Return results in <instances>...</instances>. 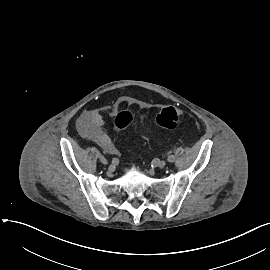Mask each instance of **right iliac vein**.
Returning <instances> with one entry per match:
<instances>
[{
	"label": "right iliac vein",
	"instance_id": "obj_1",
	"mask_svg": "<svg viewBox=\"0 0 270 270\" xmlns=\"http://www.w3.org/2000/svg\"><path fill=\"white\" fill-rule=\"evenodd\" d=\"M99 158H100V162L102 164H104V165H107L108 164V161H107V159L104 156L101 155Z\"/></svg>",
	"mask_w": 270,
	"mask_h": 270
}]
</instances>
